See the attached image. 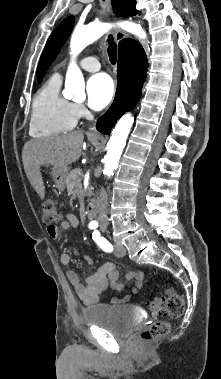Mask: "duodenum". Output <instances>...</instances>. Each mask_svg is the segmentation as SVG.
<instances>
[{
  "label": "duodenum",
  "instance_id": "obj_1",
  "mask_svg": "<svg viewBox=\"0 0 221 379\" xmlns=\"http://www.w3.org/2000/svg\"><path fill=\"white\" fill-rule=\"evenodd\" d=\"M99 204L96 200L92 201L87 208V218L92 220L98 214Z\"/></svg>",
  "mask_w": 221,
  "mask_h": 379
}]
</instances>
